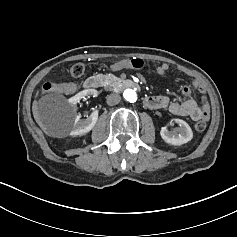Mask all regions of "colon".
Masks as SVG:
<instances>
[{
	"label": "colon",
	"instance_id": "colon-1",
	"mask_svg": "<svg viewBox=\"0 0 237 237\" xmlns=\"http://www.w3.org/2000/svg\"><path fill=\"white\" fill-rule=\"evenodd\" d=\"M129 64H130V67L133 69H140L143 67V60L139 58H134V59L129 60ZM70 72L72 76L76 78L81 77L85 72V66L82 63H76L71 67ZM51 88H52V84L47 83L43 86L42 91L49 92L51 91ZM206 127H207V123L205 122V120H200L195 125V128L198 132L205 131Z\"/></svg>",
	"mask_w": 237,
	"mask_h": 237
}]
</instances>
